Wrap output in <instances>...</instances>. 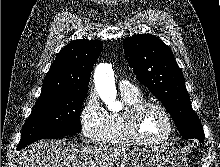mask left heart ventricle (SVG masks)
<instances>
[{
	"label": "left heart ventricle",
	"mask_w": 220,
	"mask_h": 167,
	"mask_svg": "<svg viewBox=\"0 0 220 167\" xmlns=\"http://www.w3.org/2000/svg\"><path fill=\"white\" fill-rule=\"evenodd\" d=\"M139 132L148 140L161 139L168 133V122L164 114L154 107L147 108L139 121Z\"/></svg>",
	"instance_id": "b2bd125f"
}]
</instances>
